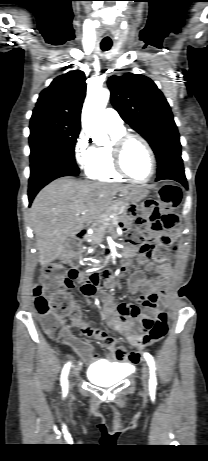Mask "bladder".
<instances>
[{
	"instance_id": "1",
	"label": "bladder",
	"mask_w": 208,
	"mask_h": 461,
	"mask_svg": "<svg viewBox=\"0 0 208 461\" xmlns=\"http://www.w3.org/2000/svg\"><path fill=\"white\" fill-rule=\"evenodd\" d=\"M86 376L94 384L110 386L123 380L126 373L122 365L98 361L87 369Z\"/></svg>"
}]
</instances>
